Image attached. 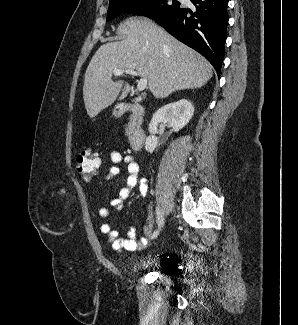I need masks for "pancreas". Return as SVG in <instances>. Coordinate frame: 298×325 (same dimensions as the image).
Returning a JSON list of instances; mask_svg holds the SVG:
<instances>
[{"label":"pancreas","mask_w":298,"mask_h":325,"mask_svg":"<svg viewBox=\"0 0 298 325\" xmlns=\"http://www.w3.org/2000/svg\"><path fill=\"white\" fill-rule=\"evenodd\" d=\"M128 128H129V126H126V134H129Z\"/></svg>","instance_id":"obj_1"}]
</instances>
